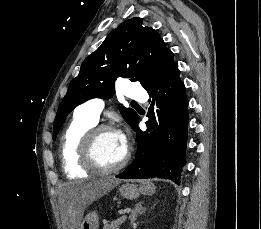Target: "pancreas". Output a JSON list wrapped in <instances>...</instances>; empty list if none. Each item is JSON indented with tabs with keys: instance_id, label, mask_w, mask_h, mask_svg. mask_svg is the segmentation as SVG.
<instances>
[{
	"instance_id": "1",
	"label": "pancreas",
	"mask_w": 261,
	"mask_h": 229,
	"mask_svg": "<svg viewBox=\"0 0 261 229\" xmlns=\"http://www.w3.org/2000/svg\"><path fill=\"white\" fill-rule=\"evenodd\" d=\"M122 218H125V217H121ZM121 219H118V221H113V223H111V225H104L103 229H120V225L122 224H119V221H121Z\"/></svg>"
}]
</instances>
